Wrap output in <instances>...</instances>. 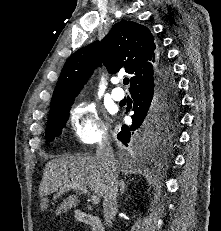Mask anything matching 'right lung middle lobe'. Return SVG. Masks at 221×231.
Wrapping results in <instances>:
<instances>
[{"label":"right lung middle lobe","mask_w":221,"mask_h":231,"mask_svg":"<svg viewBox=\"0 0 221 231\" xmlns=\"http://www.w3.org/2000/svg\"><path fill=\"white\" fill-rule=\"evenodd\" d=\"M74 98L64 102L54 112L49 114L46 139L54 140L62 132ZM179 98L160 97L154 104L150 114L142 127V132L150 143L162 144L171 137V132L178 119Z\"/></svg>","instance_id":"right-lung-middle-lobe-1"}]
</instances>
